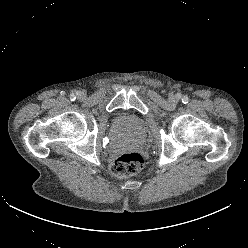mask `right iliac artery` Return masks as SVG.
I'll return each instance as SVG.
<instances>
[{"label":"right iliac artery","mask_w":248,"mask_h":248,"mask_svg":"<svg viewBox=\"0 0 248 248\" xmlns=\"http://www.w3.org/2000/svg\"><path fill=\"white\" fill-rule=\"evenodd\" d=\"M75 98H76V95L74 94V93H72V94H70V100H75Z\"/></svg>","instance_id":"obj_1"}]
</instances>
